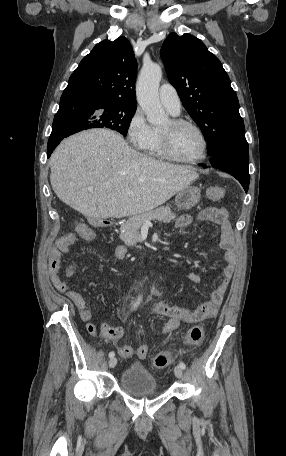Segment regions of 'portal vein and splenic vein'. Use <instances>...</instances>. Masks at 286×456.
I'll list each match as a JSON object with an SVG mask.
<instances>
[{
    "label": "portal vein and splenic vein",
    "mask_w": 286,
    "mask_h": 456,
    "mask_svg": "<svg viewBox=\"0 0 286 456\" xmlns=\"http://www.w3.org/2000/svg\"><path fill=\"white\" fill-rule=\"evenodd\" d=\"M89 190H92V188H89ZM145 223H146V224H150V221H149V220H146Z\"/></svg>",
    "instance_id": "obj_1"
}]
</instances>
